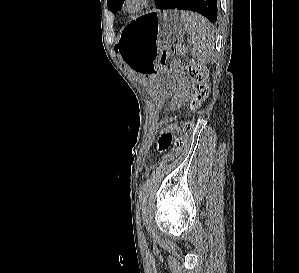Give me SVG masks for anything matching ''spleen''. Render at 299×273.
<instances>
[{
    "mask_svg": "<svg viewBox=\"0 0 299 273\" xmlns=\"http://www.w3.org/2000/svg\"><path fill=\"white\" fill-rule=\"evenodd\" d=\"M181 18L187 29L192 56L203 65L210 63L215 54V28L197 13L181 11Z\"/></svg>",
    "mask_w": 299,
    "mask_h": 273,
    "instance_id": "obj_1",
    "label": "spleen"
}]
</instances>
